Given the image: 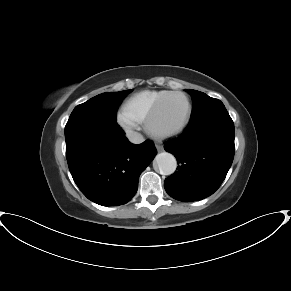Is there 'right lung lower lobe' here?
<instances>
[{
	"label": "right lung lower lobe",
	"mask_w": 291,
	"mask_h": 291,
	"mask_svg": "<svg viewBox=\"0 0 291 291\" xmlns=\"http://www.w3.org/2000/svg\"><path fill=\"white\" fill-rule=\"evenodd\" d=\"M66 158L74 182L102 206L129 202L140 174L156 155L150 141L130 143L116 121L78 116L65 126Z\"/></svg>",
	"instance_id": "98d812e1"
}]
</instances>
